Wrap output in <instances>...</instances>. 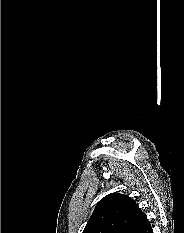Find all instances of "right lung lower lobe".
<instances>
[{"label":"right lung lower lobe","mask_w":184,"mask_h":233,"mask_svg":"<svg viewBox=\"0 0 184 233\" xmlns=\"http://www.w3.org/2000/svg\"><path fill=\"white\" fill-rule=\"evenodd\" d=\"M135 233H153L149 221L147 220Z\"/></svg>","instance_id":"1"}]
</instances>
